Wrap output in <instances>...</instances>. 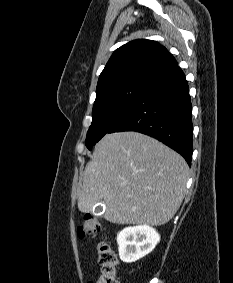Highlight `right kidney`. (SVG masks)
Wrapping results in <instances>:
<instances>
[{
    "label": "right kidney",
    "mask_w": 233,
    "mask_h": 283,
    "mask_svg": "<svg viewBox=\"0 0 233 283\" xmlns=\"http://www.w3.org/2000/svg\"><path fill=\"white\" fill-rule=\"evenodd\" d=\"M159 241V234L147 225L126 227L117 235L120 259L135 262L149 254Z\"/></svg>",
    "instance_id": "right-kidney-1"
}]
</instances>
